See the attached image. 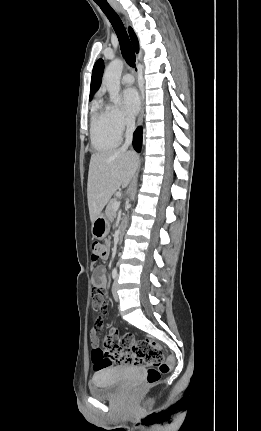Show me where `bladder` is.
<instances>
[{
	"label": "bladder",
	"mask_w": 261,
	"mask_h": 431,
	"mask_svg": "<svg viewBox=\"0 0 261 431\" xmlns=\"http://www.w3.org/2000/svg\"><path fill=\"white\" fill-rule=\"evenodd\" d=\"M124 369L110 368L96 372L89 383L91 396L97 399H111L123 388Z\"/></svg>",
	"instance_id": "31cf9c89"
}]
</instances>
